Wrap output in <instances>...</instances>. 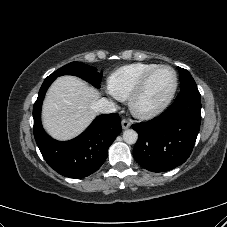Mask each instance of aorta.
<instances>
[{"mask_svg":"<svg viewBox=\"0 0 227 227\" xmlns=\"http://www.w3.org/2000/svg\"><path fill=\"white\" fill-rule=\"evenodd\" d=\"M138 139V134L132 129H127L123 132V140L127 144H135Z\"/></svg>","mask_w":227,"mask_h":227,"instance_id":"1","label":"aorta"}]
</instances>
